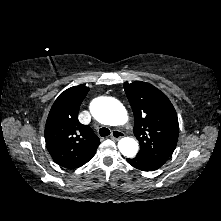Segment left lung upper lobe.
Segmentation results:
<instances>
[{
    "instance_id": "obj_1",
    "label": "left lung upper lobe",
    "mask_w": 221,
    "mask_h": 221,
    "mask_svg": "<svg viewBox=\"0 0 221 221\" xmlns=\"http://www.w3.org/2000/svg\"><path fill=\"white\" fill-rule=\"evenodd\" d=\"M124 90L134 113L133 131L140 143L137 155L163 165L178 140V117L172 103L146 82L125 83Z\"/></svg>"
}]
</instances>
